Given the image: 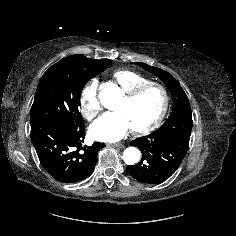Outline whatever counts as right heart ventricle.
Here are the masks:
<instances>
[{
  "label": "right heart ventricle",
  "instance_id": "obj_1",
  "mask_svg": "<svg viewBox=\"0 0 236 236\" xmlns=\"http://www.w3.org/2000/svg\"><path fill=\"white\" fill-rule=\"evenodd\" d=\"M112 78L120 88L127 92L141 84L150 82L143 74L130 69H117L112 73Z\"/></svg>",
  "mask_w": 236,
  "mask_h": 236
}]
</instances>
